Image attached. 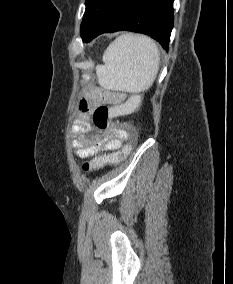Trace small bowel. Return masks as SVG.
<instances>
[{"label": "small bowel", "mask_w": 233, "mask_h": 284, "mask_svg": "<svg viewBox=\"0 0 233 284\" xmlns=\"http://www.w3.org/2000/svg\"><path fill=\"white\" fill-rule=\"evenodd\" d=\"M124 94L102 89L90 90L79 103V113L73 126V147L79 158H90L105 151L118 149L128 136L132 125H115L104 132H95L91 125V113L100 105L118 106Z\"/></svg>", "instance_id": "1"}]
</instances>
